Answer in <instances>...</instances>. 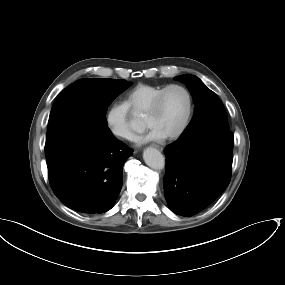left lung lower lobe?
I'll return each mask as SVG.
<instances>
[{"mask_svg":"<svg viewBox=\"0 0 285 285\" xmlns=\"http://www.w3.org/2000/svg\"><path fill=\"white\" fill-rule=\"evenodd\" d=\"M234 135L202 129L166 147L164 195L177 215L191 217L209 206L231 178Z\"/></svg>","mask_w":285,"mask_h":285,"instance_id":"obj_1","label":"left lung lower lobe"}]
</instances>
